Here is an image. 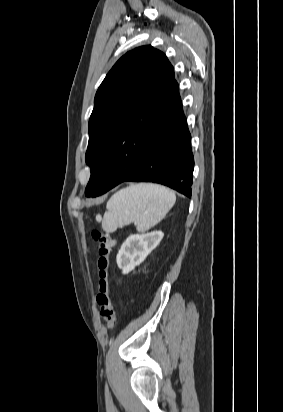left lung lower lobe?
<instances>
[{"instance_id": "left-lung-lower-lobe-1", "label": "left lung lower lobe", "mask_w": 283, "mask_h": 412, "mask_svg": "<svg viewBox=\"0 0 283 412\" xmlns=\"http://www.w3.org/2000/svg\"><path fill=\"white\" fill-rule=\"evenodd\" d=\"M180 96L155 128L138 161L123 153L99 155L92 179L102 195L124 181L155 182L191 197L194 159ZM108 155V156H107Z\"/></svg>"}]
</instances>
